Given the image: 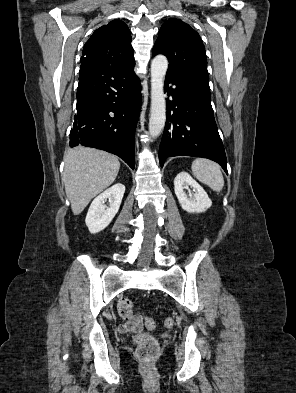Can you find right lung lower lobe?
Segmentation results:
<instances>
[{
  "label": "right lung lower lobe",
  "instance_id": "obj_1",
  "mask_svg": "<svg viewBox=\"0 0 296 393\" xmlns=\"http://www.w3.org/2000/svg\"><path fill=\"white\" fill-rule=\"evenodd\" d=\"M134 64L81 65L77 113L70 132L71 147L84 145L108 151L121 157L132 169L141 107L140 83Z\"/></svg>",
  "mask_w": 296,
  "mask_h": 393
}]
</instances>
